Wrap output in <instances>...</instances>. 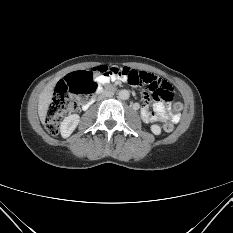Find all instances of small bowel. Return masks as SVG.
Returning <instances> with one entry per match:
<instances>
[{
	"label": "small bowel",
	"mask_w": 233,
	"mask_h": 233,
	"mask_svg": "<svg viewBox=\"0 0 233 233\" xmlns=\"http://www.w3.org/2000/svg\"><path fill=\"white\" fill-rule=\"evenodd\" d=\"M154 78V75L150 73H146ZM116 81L118 83H125V78H120L119 76H97L95 78L96 82H105V81ZM89 105V102L83 104V108H86ZM140 115L144 122H166L171 121L172 123H177L180 120V115L176 113L170 112L166 104L164 103H156L153 106V109L150 108L148 101L146 100L145 104L140 109Z\"/></svg>",
	"instance_id": "obj_1"
}]
</instances>
